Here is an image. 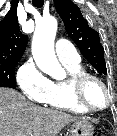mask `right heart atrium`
Segmentation results:
<instances>
[{
    "label": "right heart atrium",
    "instance_id": "right-heart-atrium-1",
    "mask_svg": "<svg viewBox=\"0 0 117 136\" xmlns=\"http://www.w3.org/2000/svg\"><path fill=\"white\" fill-rule=\"evenodd\" d=\"M16 81L27 99L40 104L46 102L51 81L32 60H28L18 69Z\"/></svg>",
    "mask_w": 117,
    "mask_h": 136
}]
</instances>
